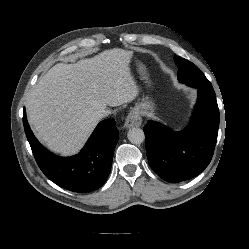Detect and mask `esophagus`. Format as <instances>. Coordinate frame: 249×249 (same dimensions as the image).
<instances>
[{
    "instance_id": "34e87169",
    "label": "esophagus",
    "mask_w": 249,
    "mask_h": 249,
    "mask_svg": "<svg viewBox=\"0 0 249 249\" xmlns=\"http://www.w3.org/2000/svg\"><path fill=\"white\" fill-rule=\"evenodd\" d=\"M142 124V118L138 110L133 109L128 116L124 126L126 128L139 127Z\"/></svg>"
}]
</instances>
